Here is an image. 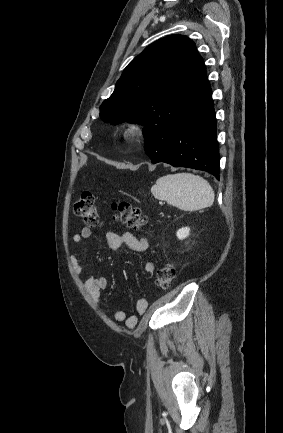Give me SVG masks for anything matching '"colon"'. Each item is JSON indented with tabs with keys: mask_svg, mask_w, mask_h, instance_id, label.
Masks as SVG:
<instances>
[{
	"mask_svg": "<svg viewBox=\"0 0 283 433\" xmlns=\"http://www.w3.org/2000/svg\"><path fill=\"white\" fill-rule=\"evenodd\" d=\"M113 218L129 228L138 230L142 228L147 218L140 208L127 201L112 204ZM74 213L85 224L95 227L101 224L97 205L93 194L83 191L74 203ZM176 269L172 264L163 265L157 272L155 283L160 288H167L173 281Z\"/></svg>",
	"mask_w": 283,
	"mask_h": 433,
	"instance_id": "obj_1",
	"label": "colon"
}]
</instances>
